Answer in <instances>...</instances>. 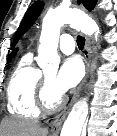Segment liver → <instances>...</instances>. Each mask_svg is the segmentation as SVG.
I'll return each instance as SVG.
<instances>
[{"mask_svg": "<svg viewBox=\"0 0 117 136\" xmlns=\"http://www.w3.org/2000/svg\"><path fill=\"white\" fill-rule=\"evenodd\" d=\"M4 136H47L48 130L35 121L7 119L2 123Z\"/></svg>", "mask_w": 117, "mask_h": 136, "instance_id": "liver-1", "label": "liver"}]
</instances>
